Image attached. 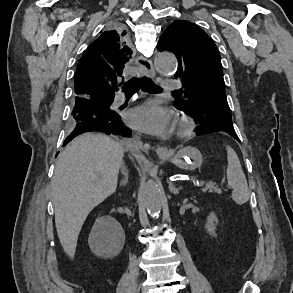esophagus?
I'll return each instance as SVG.
<instances>
[{
	"instance_id": "obj_1",
	"label": "esophagus",
	"mask_w": 293,
	"mask_h": 293,
	"mask_svg": "<svg viewBox=\"0 0 293 293\" xmlns=\"http://www.w3.org/2000/svg\"><path fill=\"white\" fill-rule=\"evenodd\" d=\"M136 64L138 65L142 74H145V75L152 77V78L155 77V70H154V67H153L151 60H149L148 58H145L143 56H138V57H136ZM139 138L140 137H138V136L136 137V139H139ZM156 153L160 157L170 155L169 149L165 146H157Z\"/></svg>"
}]
</instances>
